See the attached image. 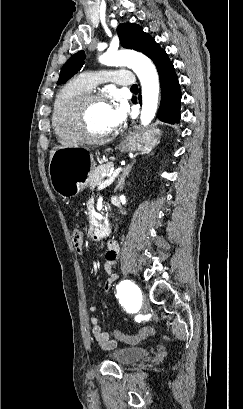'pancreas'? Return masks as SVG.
Instances as JSON below:
<instances>
[{
  "mask_svg": "<svg viewBox=\"0 0 243 409\" xmlns=\"http://www.w3.org/2000/svg\"><path fill=\"white\" fill-rule=\"evenodd\" d=\"M113 163H106L104 165H99L96 167L88 177V184L91 190H93L96 186L101 184L102 177L101 175H108L111 171V167Z\"/></svg>",
  "mask_w": 243,
  "mask_h": 409,
  "instance_id": "pancreas-1",
  "label": "pancreas"
}]
</instances>
